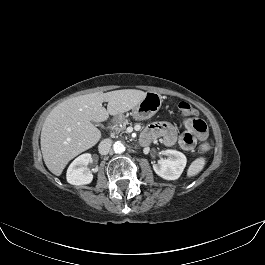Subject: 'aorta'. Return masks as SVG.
I'll return each mask as SVG.
<instances>
[{
  "label": "aorta",
  "instance_id": "aorta-1",
  "mask_svg": "<svg viewBox=\"0 0 265 265\" xmlns=\"http://www.w3.org/2000/svg\"><path fill=\"white\" fill-rule=\"evenodd\" d=\"M113 150L115 153H123L125 151V146L122 142L117 141L113 145Z\"/></svg>",
  "mask_w": 265,
  "mask_h": 265
}]
</instances>
